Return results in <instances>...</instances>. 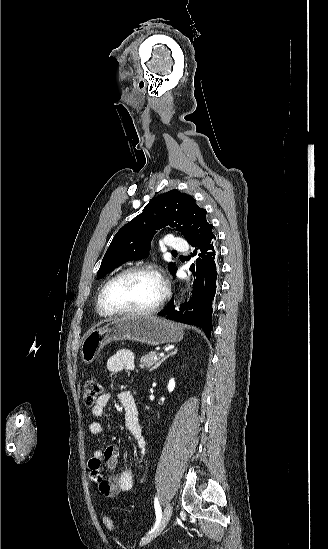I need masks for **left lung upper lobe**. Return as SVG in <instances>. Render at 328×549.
<instances>
[{"instance_id": "left-lung-upper-lobe-1", "label": "left lung upper lobe", "mask_w": 328, "mask_h": 549, "mask_svg": "<svg viewBox=\"0 0 328 549\" xmlns=\"http://www.w3.org/2000/svg\"><path fill=\"white\" fill-rule=\"evenodd\" d=\"M166 226L180 231L191 246H196L213 235L206 218V210L195 199L178 190L155 197L141 214L123 226L114 236L97 272L100 279L121 264L146 256L156 231ZM170 272L175 273L173 263Z\"/></svg>"}]
</instances>
